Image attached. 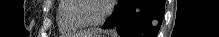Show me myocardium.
I'll return each mask as SVG.
<instances>
[{
	"instance_id": "1",
	"label": "myocardium",
	"mask_w": 219,
	"mask_h": 37,
	"mask_svg": "<svg viewBox=\"0 0 219 37\" xmlns=\"http://www.w3.org/2000/svg\"><path fill=\"white\" fill-rule=\"evenodd\" d=\"M82 0H71L72 2V8L69 12L70 18L79 26L81 27H96L104 23L107 18L109 17L111 10H112V5L110 0L105 1V10L103 14L96 20L93 21H88V20H83L80 17H78V11L80 9V2Z\"/></svg>"
}]
</instances>
